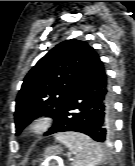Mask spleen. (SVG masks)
<instances>
[{"label":"spleen","mask_w":135,"mask_h":166,"mask_svg":"<svg viewBox=\"0 0 135 166\" xmlns=\"http://www.w3.org/2000/svg\"><path fill=\"white\" fill-rule=\"evenodd\" d=\"M56 140L64 144L75 156L72 166H97L103 158V151L100 145L89 136L77 133H58Z\"/></svg>","instance_id":"obj_1"}]
</instances>
